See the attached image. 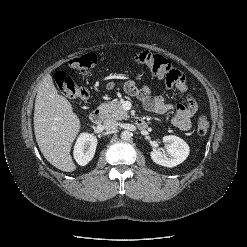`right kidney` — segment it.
I'll return each instance as SVG.
<instances>
[{"mask_svg":"<svg viewBox=\"0 0 247 247\" xmlns=\"http://www.w3.org/2000/svg\"><path fill=\"white\" fill-rule=\"evenodd\" d=\"M97 146V139L89 133H82L74 146V158L76 162L85 166L92 160Z\"/></svg>","mask_w":247,"mask_h":247,"instance_id":"ca27d5eb","label":"right kidney"}]
</instances>
